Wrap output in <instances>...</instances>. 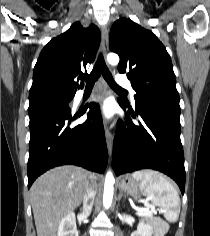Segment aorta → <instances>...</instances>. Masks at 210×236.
Wrapping results in <instances>:
<instances>
[{"instance_id": "1", "label": "aorta", "mask_w": 210, "mask_h": 236, "mask_svg": "<svg viewBox=\"0 0 210 236\" xmlns=\"http://www.w3.org/2000/svg\"><path fill=\"white\" fill-rule=\"evenodd\" d=\"M107 61L111 65H117L119 63V56L115 53H110L107 56ZM115 179L111 171H108L105 177L103 205L105 208H109L113 200Z\"/></svg>"}]
</instances>
